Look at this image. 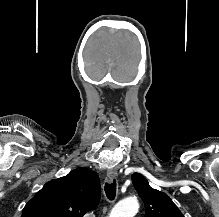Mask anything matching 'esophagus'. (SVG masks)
Returning <instances> with one entry per match:
<instances>
[{"mask_svg":"<svg viewBox=\"0 0 219 217\" xmlns=\"http://www.w3.org/2000/svg\"><path fill=\"white\" fill-rule=\"evenodd\" d=\"M107 179L109 182H112L117 177V172L114 169H110L107 171Z\"/></svg>","mask_w":219,"mask_h":217,"instance_id":"esophagus-1","label":"esophagus"}]
</instances>
